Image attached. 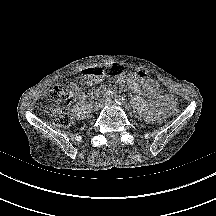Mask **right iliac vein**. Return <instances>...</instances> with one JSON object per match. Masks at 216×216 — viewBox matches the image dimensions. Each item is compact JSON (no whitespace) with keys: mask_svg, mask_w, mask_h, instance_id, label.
I'll return each mask as SVG.
<instances>
[{"mask_svg":"<svg viewBox=\"0 0 216 216\" xmlns=\"http://www.w3.org/2000/svg\"><path fill=\"white\" fill-rule=\"evenodd\" d=\"M103 105H104V101L99 100V101H97V102L94 104L93 110H94V111H99V110L103 107Z\"/></svg>","mask_w":216,"mask_h":216,"instance_id":"1","label":"right iliac vein"}]
</instances>
